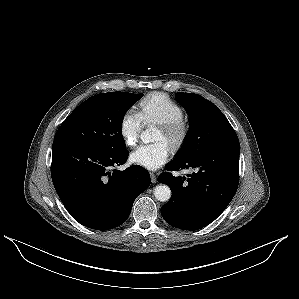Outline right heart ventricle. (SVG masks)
<instances>
[{"instance_id":"1","label":"right heart ventricle","mask_w":299,"mask_h":299,"mask_svg":"<svg viewBox=\"0 0 299 299\" xmlns=\"http://www.w3.org/2000/svg\"><path fill=\"white\" fill-rule=\"evenodd\" d=\"M138 112L143 122L147 124H159L184 117L181 106L161 92L151 93L144 97L138 105Z\"/></svg>"}]
</instances>
